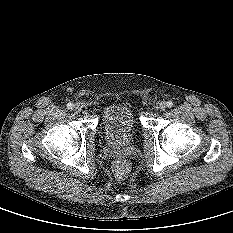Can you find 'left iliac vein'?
I'll return each instance as SVG.
<instances>
[{
    "label": "left iliac vein",
    "mask_w": 233,
    "mask_h": 233,
    "mask_svg": "<svg viewBox=\"0 0 233 233\" xmlns=\"http://www.w3.org/2000/svg\"><path fill=\"white\" fill-rule=\"evenodd\" d=\"M166 109V103L164 101L159 103V110L164 111Z\"/></svg>",
    "instance_id": "1"
}]
</instances>
